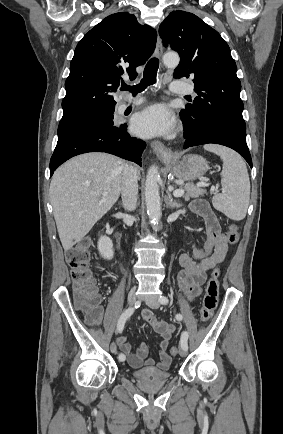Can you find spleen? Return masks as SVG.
I'll use <instances>...</instances> for the list:
<instances>
[{
    "instance_id": "spleen-1",
    "label": "spleen",
    "mask_w": 283,
    "mask_h": 434,
    "mask_svg": "<svg viewBox=\"0 0 283 434\" xmlns=\"http://www.w3.org/2000/svg\"><path fill=\"white\" fill-rule=\"evenodd\" d=\"M204 149L217 154L223 161V192L213 197V207L232 220L244 219L250 199V181L244 160L233 150L220 145H205Z\"/></svg>"
}]
</instances>
